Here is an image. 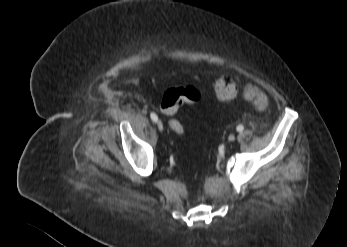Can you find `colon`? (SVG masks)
<instances>
[{"label": "colon", "mask_w": 347, "mask_h": 247, "mask_svg": "<svg viewBox=\"0 0 347 247\" xmlns=\"http://www.w3.org/2000/svg\"><path fill=\"white\" fill-rule=\"evenodd\" d=\"M214 90L218 100L229 102L235 97L237 87L229 77H221L215 82ZM243 93L257 110L263 111L267 108V96L256 86L252 84L246 85ZM200 97L199 91L193 86H175L165 92L161 108L169 117V125L175 135L182 136L185 132L182 122L176 117L180 108L185 104L199 101Z\"/></svg>", "instance_id": "colon-1"}]
</instances>
